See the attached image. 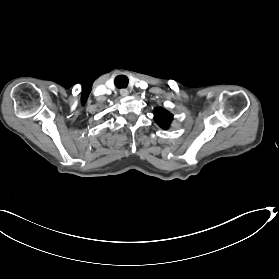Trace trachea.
Listing matches in <instances>:
<instances>
[{
    "instance_id": "obj_1",
    "label": "trachea",
    "mask_w": 279,
    "mask_h": 279,
    "mask_svg": "<svg viewBox=\"0 0 279 279\" xmlns=\"http://www.w3.org/2000/svg\"><path fill=\"white\" fill-rule=\"evenodd\" d=\"M115 85L117 88L122 89V88H127L128 85V78L125 75H118L115 78Z\"/></svg>"
}]
</instances>
